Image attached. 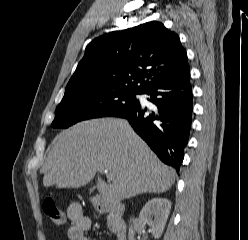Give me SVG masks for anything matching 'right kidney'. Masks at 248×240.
Returning a JSON list of instances; mask_svg holds the SVG:
<instances>
[{
  "instance_id": "1",
  "label": "right kidney",
  "mask_w": 248,
  "mask_h": 240,
  "mask_svg": "<svg viewBox=\"0 0 248 240\" xmlns=\"http://www.w3.org/2000/svg\"><path fill=\"white\" fill-rule=\"evenodd\" d=\"M171 210V201L166 198H153L142 208L139 219L141 230L148 224L154 239H159L165 228ZM154 217V219H153ZM129 240H135V229L131 227L128 233Z\"/></svg>"
}]
</instances>
